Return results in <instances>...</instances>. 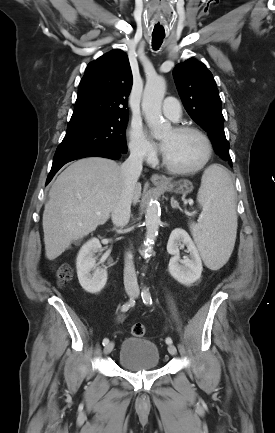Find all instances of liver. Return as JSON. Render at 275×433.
Instances as JSON below:
<instances>
[{"label": "liver", "mask_w": 275, "mask_h": 433, "mask_svg": "<svg viewBox=\"0 0 275 433\" xmlns=\"http://www.w3.org/2000/svg\"><path fill=\"white\" fill-rule=\"evenodd\" d=\"M124 186L113 160L89 157L75 161L53 183L43 213L45 255L59 257L74 240L87 236L110 218ZM141 184L133 192L136 204Z\"/></svg>", "instance_id": "liver-1"}]
</instances>
